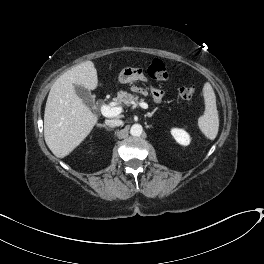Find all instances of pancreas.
I'll list each match as a JSON object with an SVG mask.
<instances>
[{"mask_svg":"<svg viewBox=\"0 0 264 264\" xmlns=\"http://www.w3.org/2000/svg\"><path fill=\"white\" fill-rule=\"evenodd\" d=\"M139 97L137 95L130 94L126 91H120L117 93V101L126 105L137 102ZM144 99H141L143 102Z\"/></svg>","mask_w":264,"mask_h":264,"instance_id":"1","label":"pancreas"}]
</instances>
